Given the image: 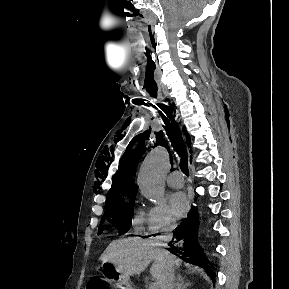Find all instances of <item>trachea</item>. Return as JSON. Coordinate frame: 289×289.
<instances>
[{
    "instance_id": "obj_1",
    "label": "trachea",
    "mask_w": 289,
    "mask_h": 289,
    "mask_svg": "<svg viewBox=\"0 0 289 289\" xmlns=\"http://www.w3.org/2000/svg\"><path fill=\"white\" fill-rule=\"evenodd\" d=\"M166 116L160 112V115L165 123L166 133L172 143L174 150L180 157V169L186 175L189 176L188 169V154L184 144V140L180 133L179 127L172 116V111L170 108H167L165 111Z\"/></svg>"
}]
</instances>
